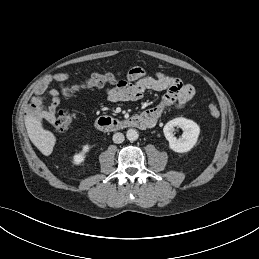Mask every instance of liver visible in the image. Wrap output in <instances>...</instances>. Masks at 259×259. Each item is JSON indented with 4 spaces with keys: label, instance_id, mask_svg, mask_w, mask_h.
<instances>
[{
    "label": "liver",
    "instance_id": "liver-1",
    "mask_svg": "<svg viewBox=\"0 0 259 259\" xmlns=\"http://www.w3.org/2000/svg\"><path fill=\"white\" fill-rule=\"evenodd\" d=\"M25 126L31 142L43 155L49 156L55 146V135L51 131L44 129L41 121L33 114L25 116Z\"/></svg>",
    "mask_w": 259,
    "mask_h": 259
}]
</instances>
